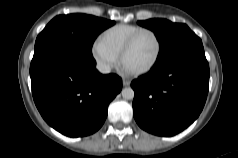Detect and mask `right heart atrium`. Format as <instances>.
I'll return each instance as SVG.
<instances>
[{
  "label": "right heart atrium",
  "mask_w": 238,
  "mask_h": 158,
  "mask_svg": "<svg viewBox=\"0 0 238 158\" xmlns=\"http://www.w3.org/2000/svg\"><path fill=\"white\" fill-rule=\"evenodd\" d=\"M92 56L103 72H110L119 63V56L112 51L101 39L92 45Z\"/></svg>",
  "instance_id": "obj_1"
}]
</instances>
